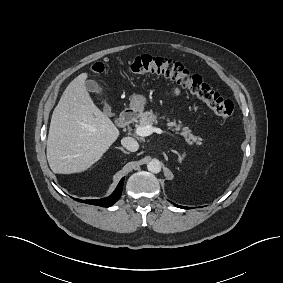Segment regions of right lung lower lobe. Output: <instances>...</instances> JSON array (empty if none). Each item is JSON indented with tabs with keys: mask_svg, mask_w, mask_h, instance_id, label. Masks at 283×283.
Returning a JSON list of instances; mask_svg holds the SVG:
<instances>
[{
	"mask_svg": "<svg viewBox=\"0 0 283 283\" xmlns=\"http://www.w3.org/2000/svg\"><path fill=\"white\" fill-rule=\"evenodd\" d=\"M123 182H124V178L121 179L116 190L107 198L96 199V200H80V199H75V200L87 204L98 205L101 207H109L119 200L122 193Z\"/></svg>",
	"mask_w": 283,
	"mask_h": 283,
	"instance_id": "obj_1",
	"label": "right lung lower lobe"
}]
</instances>
